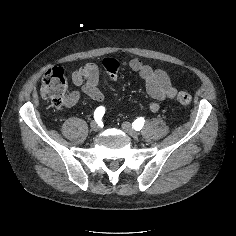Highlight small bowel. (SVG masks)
<instances>
[{
  "mask_svg": "<svg viewBox=\"0 0 236 236\" xmlns=\"http://www.w3.org/2000/svg\"><path fill=\"white\" fill-rule=\"evenodd\" d=\"M105 68L109 73L110 81H115L119 63L112 58H106L103 61ZM124 65L139 74L144 80L146 91L153 102L149 104L151 112H157L160 108L158 101L172 99L176 94V89L172 85L170 77L162 69H155L150 65L143 63L139 58H131L124 62ZM72 82L80 87V92H72L68 96V107L77 103L80 93H83L95 101H103L104 95L98 89L99 68L95 63H86L71 75Z\"/></svg>",
  "mask_w": 236,
  "mask_h": 236,
  "instance_id": "obj_1",
  "label": "small bowel"
}]
</instances>
